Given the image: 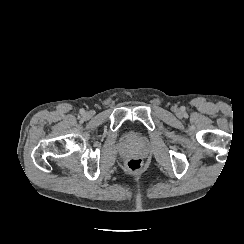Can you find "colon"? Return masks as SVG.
<instances>
[{
  "mask_svg": "<svg viewBox=\"0 0 244 244\" xmlns=\"http://www.w3.org/2000/svg\"><path fill=\"white\" fill-rule=\"evenodd\" d=\"M141 160L137 157H131L126 162L125 165L128 170L135 171L141 167Z\"/></svg>",
  "mask_w": 244,
  "mask_h": 244,
  "instance_id": "1",
  "label": "colon"
}]
</instances>
